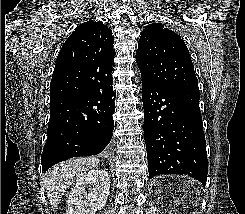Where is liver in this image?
I'll return each instance as SVG.
<instances>
[{
	"label": "liver",
	"instance_id": "liver-1",
	"mask_svg": "<svg viewBox=\"0 0 245 214\" xmlns=\"http://www.w3.org/2000/svg\"><path fill=\"white\" fill-rule=\"evenodd\" d=\"M97 164L96 157L71 159L55 165L44 174L43 183L53 210L57 209L66 189Z\"/></svg>",
	"mask_w": 245,
	"mask_h": 214
}]
</instances>
